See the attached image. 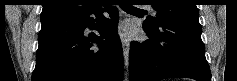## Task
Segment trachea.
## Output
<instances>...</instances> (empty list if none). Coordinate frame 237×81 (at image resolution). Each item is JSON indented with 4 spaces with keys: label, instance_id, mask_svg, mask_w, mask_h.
<instances>
[{
    "label": "trachea",
    "instance_id": "obj_1",
    "mask_svg": "<svg viewBox=\"0 0 237 81\" xmlns=\"http://www.w3.org/2000/svg\"><path fill=\"white\" fill-rule=\"evenodd\" d=\"M119 5L122 9H128V10H133V11H143L141 9H138V8L132 6V4H129V3L124 2V1L120 2ZM108 6H109L108 4H105V7H108Z\"/></svg>",
    "mask_w": 237,
    "mask_h": 81
}]
</instances>
